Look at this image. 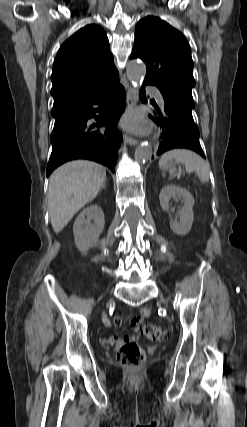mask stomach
Masks as SVG:
<instances>
[{
  "label": "stomach",
  "instance_id": "0dacf381",
  "mask_svg": "<svg viewBox=\"0 0 247 427\" xmlns=\"http://www.w3.org/2000/svg\"><path fill=\"white\" fill-rule=\"evenodd\" d=\"M163 168L166 169V170H169V172H170L171 175L174 174V172H175V168H174V166H173L172 163L167 164Z\"/></svg>",
  "mask_w": 247,
  "mask_h": 427
}]
</instances>
